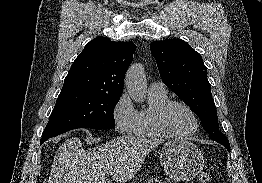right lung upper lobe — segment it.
Segmentation results:
<instances>
[{
	"instance_id": "cb5924a9",
	"label": "right lung upper lobe",
	"mask_w": 262,
	"mask_h": 183,
	"mask_svg": "<svg viewBox=\"0 0 262 183\" xmlns=\"http://www.w3.org/2000/svg\"><path fill=\"white\" fill-rule=\"evenodd\" d=\"M135 50L131 42H115L106 37L93 39L73 62L61 93L93 91L121 95Z\"/></svg>"
}]
</instances>
